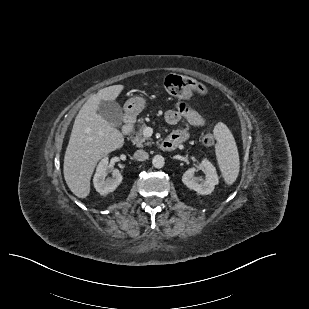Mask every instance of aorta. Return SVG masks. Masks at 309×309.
I'll return each mask as SVG.
<instances>
[{
    "label": "aorta",
    "mask_w": 309,
    "mask_h": 309,
    "mask_svg": "<svg viewBox=\"0 0 309 309\" xmlns=\"http://www.w3.org/2000/svg\"><path fill=\"white\" fill-rule=\"evenodd\" d=\"M152 164L157 169L162 168L165 164L164 157L161 155H155L152 159Z\"/></svg>",
    "instance_id": "aorta-1"
}]
</instances>
